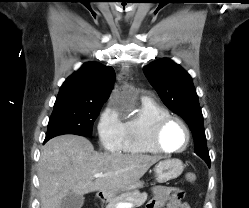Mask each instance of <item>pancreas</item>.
<instances>
[{
	"instance_id": "obj_1",
	"label": "pancreas",
	"mask_w": 249,
	"mask_h": 208,
	"mask_svg": "<svg viewBox=\"0 0 249 208\" xmlns=\"http://www.w3.org/2000/svg\"><path fill=\"white\" fill-rule=\"evenodd\" d=\"M147 200V193H140L138 190L127 191L126 193L109 200L106 208H116L118 203H131L134 207L142 206Z\"/></svg>"
}]
</instances>
